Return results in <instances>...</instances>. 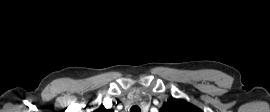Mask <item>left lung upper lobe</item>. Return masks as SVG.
<instances>
[{
    "label": "left lung upper lobe",
    "mask_w": 270,
    "mask_h": 112,
    "mask_svg": "<svg viewBox=\"0 0 270 112\" xmlns=\"http://www.w3.org/2000/svg\"><path fill=\"white\" fill-rule=\"evenodd\" d=\"M160 112H203L184 100L171 99L163 104Z\"/></svg>",
    "instance_id": "obj_1"
}]
</instances>
